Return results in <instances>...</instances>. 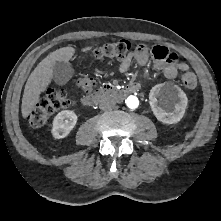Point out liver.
<instances>
[{"label": "liver", "mask_w": 221, "mask_h": 221, "mask_svg": "<svg viewBox=\"0 0 221 221\" xmlns=\"http://www.w3.org/2000/svg\"><path fill=\"white\" fill-rule=\"evenodd\" d=\"M92 47H85L82 52L91 50ZM75 53L71 46L59 48L51 52L44 58L33 70L27 79L23 98L21 112L23 118H27L39 102L40 94L45 91L53 78V65L56 61L68 62Z\"/></svg>", "instance_id": "obj_1"}]
</instances>
